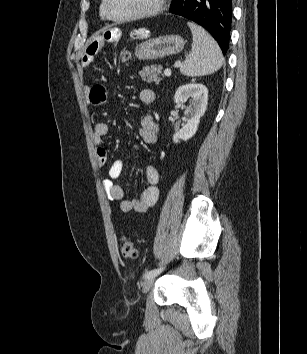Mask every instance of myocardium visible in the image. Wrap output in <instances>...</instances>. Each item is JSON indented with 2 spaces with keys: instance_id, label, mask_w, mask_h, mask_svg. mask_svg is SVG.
Returning a JSON list of instances; mask_svg holds the SVG:
<instances>
[{
  "instance_id": "obj_1",
  "label": "myocardium",
  "mask_w": 307,
  "mask_h": 354,
  "mask_svg": "<svg viewBox=\"0 0 307 354\" xmlns=\"http://www.w3.org/2000/svg\"><path fill=\"white\" fill-rule=\"evenodd\" d=\"M165 2H166V0H156L150 8H148L142 12L132 14V15H127V16L115 15L111 10L110 0H103V6H104L105 13L109 19L116 21V22H129V21H135V20L148 18V17L158 14L163 9Z\"/></svg>"
}]
</instances>
